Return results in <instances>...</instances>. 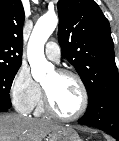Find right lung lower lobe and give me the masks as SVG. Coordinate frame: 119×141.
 Segmentation results:
<instances>
[{
	"label": "right lung lower lobe",
	"mask_w": 119,
	"mask_h": 141,
	"mask_svg": "<svg viewBox=\"0 0 119 141\" xmlns=\"http://www.w3.org/2000/svg\"><path fill=\"white\" fill-rule=\"evenodd\" d=\"M10 107H11V105L6 106V105H3V104H0V112L7 111Z\"/></svg>",
	"instance_id": "98d812e1"
}]
</instances>
